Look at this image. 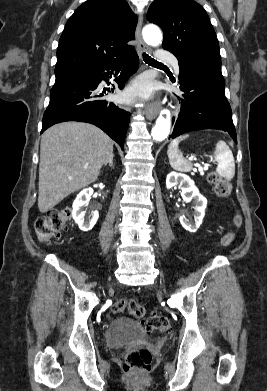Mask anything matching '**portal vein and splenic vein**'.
Wrapping results in <instances>:
<instances>
[{"label":"portal vein and splenic vein","instance_id":"obj_1","mask_svg":"<svg viewBox=\"0 0 267 391\" xmlns=\"http://www.w3.org/2000/svg\"><path fill=\"white\" fill-rule=\"evenodd\" d=\"M189 160H196V159L189 158ZM207 168H208V166L205 165V166H204V169H207Z\"/></svg>","mask_w":267,"mask_h":391}]
</instances>
